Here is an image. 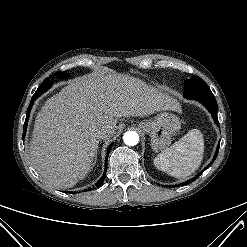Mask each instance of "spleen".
<instances>
[{"mask_svg":"<svg viewBox=\"0 0 247 247\" xmlns=\"http://www.w3.org/2000/svg\"><path fill=\"white\" fill-rule=\"evenodd\" d=\"M204 152L203 134L192 129L171 147L162 151L153 162L157 169L176 178H186L197 170Z\"/></svg>","mask_w":247,"mask_h":247,"instance_id":"1","label":"spleen"}]
</instances>
